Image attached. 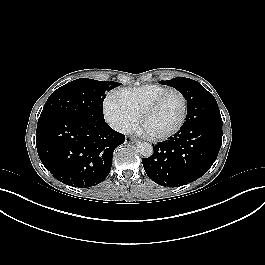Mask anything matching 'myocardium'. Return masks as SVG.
<instances>
[{
    "instance_id": "f54148a6",
    "label": "myocardium",
    "mask_w": 265,
    "mask_h": 265,
    "mask_svg": "<svg viewBox=\"0 0 265 265\" xmlns=\"http://www.w3.org/2000/svg\"><path fill=\"white\" fill-rule=\"evenodd\" d=\"M170 92H175L177 93L182 101V113L181 117L177 123V125L170 131L164 133V134H147V138L153 141H164L169 139L170 137L174 136L177 134L180 129L183 127L186 116H187V99L182 91H180L177 88L174 87H168L164 89L162 92H160L158 95H156L147 105L146 107L142 110L141 114L139 115V124L141 127H143V122L145 118L148 116V114L153 111L156 106L159 104L160 100L168 93Z\"/></svg>"
}]
</instances>
